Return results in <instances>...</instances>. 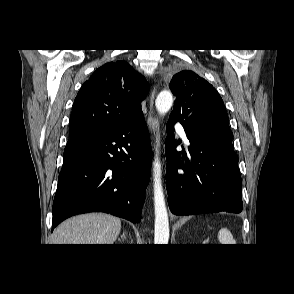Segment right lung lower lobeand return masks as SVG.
<instances>
[{
    "instance_id": "right-lung-lower-lobe-1",
    "label": "right lung lower lobe",
    "mask_w": 294,
    "mask_h": 294,
    "mask_svg": "<svg viewBox=\"0 0 294 294\" xmlns=\"http://www.w3.org/2000/svg\"><path fill=\"white\" fill-rule=\"evenodd\" d=\"M150 166L151 143L142 111L112 129L70 139L58 178L52 229L88 212L140 222Z\"/></svg>"
}]
</instances>
